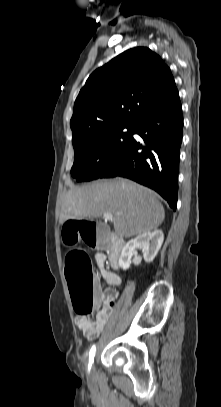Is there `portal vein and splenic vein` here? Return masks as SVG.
<instances>
[{
  "label": "portal vein and splenic vein",
  "instance_id": "portal-vein-and-splenic-vein-1",
  "mask_svg": "<svg viewBox=\"0 0 221 407\" xmlns=\"http://www.w3.org/2000/svg\"><path fill=\"white\" fill-rule=\"evenodd\" d=\"M103 218L105 219V220H113V216H112V214H109V213H106V214H104L103 215Z\"/></svg>",
  "mask_w": 221,
  "mask_h": 407
}]
</instances>
